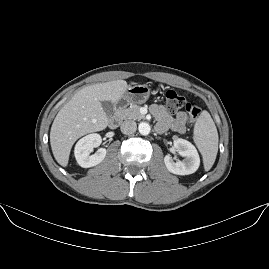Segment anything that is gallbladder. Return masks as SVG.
Returning <instances> with one entry per match:
<instances>
[{
  "mask_svg": "<svg viewBox=\"0 0 269 269\" xmlns=\"http://www.w3.org/2000/svg\"><path fill=\"white\" fill-rule=\"evenodd\" d=\"M102 109L104 110L106 116H112L114 113V103L111 101H101Z\"/></svg>",
  "mask_w": 269,
  "mask_h": 269,
  "instance_id": "1",
  "label": "gallbladder"
}]
</instances>
